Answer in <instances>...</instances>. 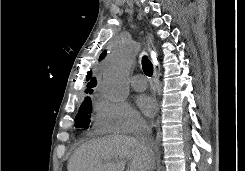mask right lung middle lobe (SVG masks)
<instances>
[{
	"instance_id": "dd1d6c3e",
	"label": "right lung middle lobe",
	"mask_w": 245,
	"mask_h": 171,
	"mask_svg": "<svg viewBox=\"0 0 245 171\" xmlns=\"http://www.w3.org/2000/svg\"><path fill=\"white\" fill-rule=\"evenodd\" d=\"M92 110V103L89 97H86L81 104L78 114L76 116V126L80 128H86L90 122V114Z\"/></svg>"
}]
</instances>
